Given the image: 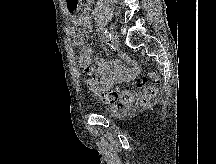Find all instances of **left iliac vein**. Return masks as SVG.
I'll list each match as a JSON object with an SVG mask.
<instances>
[{"mask_svg": "<svg viewBox=\"0 0 216 164\" xmlns=\"http://www.w3.org/2000/svg\"><path fill=\"white\" fill-rule=\"evenodd\" d=\"M111 34H112L111 44L113 45L114 48H117L119 45V38L113 30L111 31Z\"/></svg>", "mask_w": 216, "mask_h": 164, "instance_id": "obj_1", "label": "left iliac vein"}]
</instances>
